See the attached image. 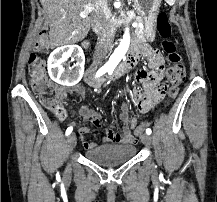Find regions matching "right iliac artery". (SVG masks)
Instances as JSON below:
<instances>
[{
	"mask_svg": "<svg viewBox=\"0 0 217 202\" xmlns=\"http://www.w3.org/2000/svg\"><path fill=\"white\" fill-rule=\"evenodd\" d=\"M104 73H105L104 71H103V72L98 71V72L96 73V77H99V76L103 75ZM72 130H73L72 127H68L67 130H66V136H68V135L72 132Z\"/></svg>",
	"mask_w": 217,
	"mask_h": 202,
	"instance_id": "82829eb1",
	"label": "right iliac artery"
}]
</instances>
